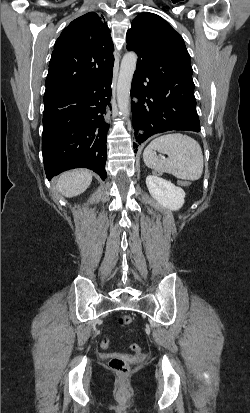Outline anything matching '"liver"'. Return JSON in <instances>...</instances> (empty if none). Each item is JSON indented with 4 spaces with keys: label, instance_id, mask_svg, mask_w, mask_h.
<instances>
[{
    "label": "liver",
    "instance_id": "liver-1",
    "mask_svg": "<svg viewBox=\"0 0 250 413\" xmlns=\"http://www.w3.org/2000/svg\"><path fill=\"white\" fill-rule=\"evenodd\" d=\"M91 182V172L76 169L62 173L57 181L56 188L62 195L71 198L82 194Z\"/></svg>",
    "mask_w": 250,
    "mask_h": 413
}]
</instances>
